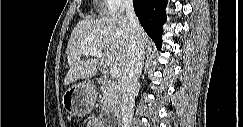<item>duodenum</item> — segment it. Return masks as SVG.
<instances>
[{"instance_id":"410a0bca","label":"duodenum","mask_w":243,"mask_h":127,"mask_svg":"<svg viewBox=\"0 0 243 127\" xmlns=\"http://www.w3.org/2000/svg\"><path fill=\"white\" fill-rule=\"evenodd\" d=\"M106 81H107V78H106L105 76H100V77L98 78V80H97V83H98L99 85H102V84H105Z\"/></svg>"}]
</instances>
